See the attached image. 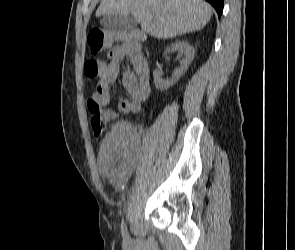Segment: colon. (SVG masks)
<instances>
[{
	"label": "colon",
	"mask_w": 295,
	"mask_h": 250,
	"mask_svg": "<svg viewBox=\"0 0 295 250\" xmlns=\"http://www.w3.org/2000/svg\"><path fill=\"white\" fill-rule=\"evenodd\" d=\"M144 39V34L138 30L123 31L100 27L93 28L88 35L89 47L94 55L109 49L115 41L121 42L131 51L136 52L141 50ZM103 70L104 63L96 58H89L84 63V73L88 78L100 77ZM87 106L91 114L93 133L98 137L104 133L107 123L115 117V112L102 108L91 98L88 100Z\"/></svg>",
	"instance_id": "colon-1"
}]
</instances>
